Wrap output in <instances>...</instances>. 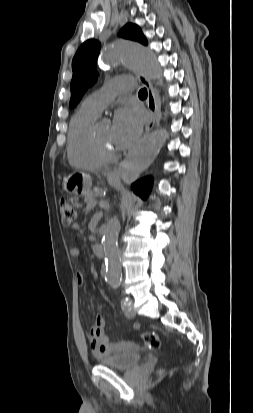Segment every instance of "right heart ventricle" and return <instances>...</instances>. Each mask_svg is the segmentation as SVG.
<instances>
[{
	"label": "right heart ventricle",
	"instance_id": "right-heart-ventricle-1",
	"mask_svg": "<svg viewBox=\"0 0 253 413\" xmlns=\"http://www.w3.org/2000/svg\"><path fill=\"white\" fill-rule=\"evenodd\" d=\"M97 118L98 114L81 106L70 121L67 156L76 167L96 169L105 163L95 153L91 143V130Z\"/></svg>",
	"mask_w": 253,
	"mask_h": 413
}]
</instances>
